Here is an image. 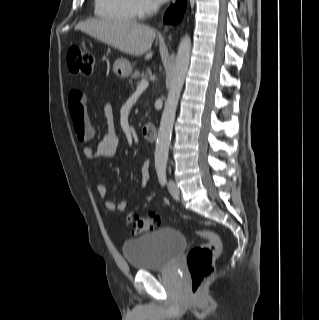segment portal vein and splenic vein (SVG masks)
<instances>
[{"instance_id": "1", "label": "portal vein and splenic vein", "mask_w": 319, "mask_h": 320, "mask_svg": "<svg viewBox=\"0 0 319 320\" xmlns=\"http://www.w3.org/2000/svg\"><path fill=\"white\" fill-rule=\"evenodd\" d=\"M148 85H149L148 81L143 78V79H141L140 83L138 84L137 90H140V89L143 90V89L147 88Z\"/></svg>"}]
</instances>
